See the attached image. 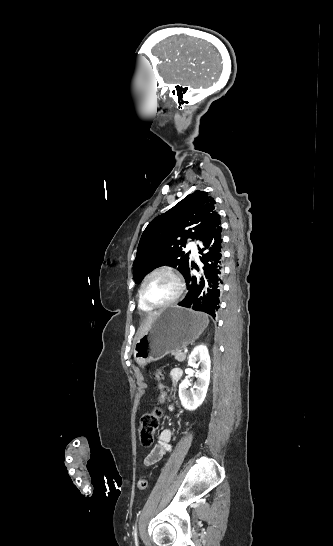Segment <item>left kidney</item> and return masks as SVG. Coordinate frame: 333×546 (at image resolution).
Masks as SVG:
<instances>
[{
	"label": "left kidney",
	"instance_id": "5707ae66",
	"mask_svg": "<svg viewBox=\"0 0 333 546\" xmlns=\"http://www.w3.org/2000/svg\"><path fill=\"white\" fill-rule=\"evenodd\" d=\"M199 365L201 369L197 372V382L194 385L196 391L191 393L186 391L191 375L186 376L179 385V398L182 406L190 411L202 404L209 386L211 360L206 345H198L189 356L188 366L197 368ZM191 371L193 372V370Z\"/></svg>",
	"mask_w": 333,
	"mask_h": 546
}]
</instances>
